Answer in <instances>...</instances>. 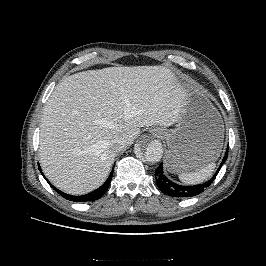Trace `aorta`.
Returning a JSON list of instances; mask_svg holds the SVG:
<instances>
[{"mask_svg": "<svg viewBox=\"0 0 266 266\" xmlns=\"http://www.w3.org/2000/svg\"><path fill=\"white\" fill-rule=\"evenodd\" d=\"M136 153L151 163L160 161L163 155L162 144L159 140L143 139L136 146Z\"/></svg>", "mask_w": 266, "mask_h": 266, "instance_id": "obj_1", "label": "aorta"}]
</instances>
